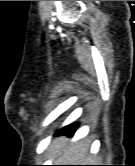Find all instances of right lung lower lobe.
I'll return each instance as SVG.
<instances>
[{
	"label": "right lung lower lobe",
	"mask_w": 135,
	"mask_h": 166,
	"mask_svg": "<svg viewBox=\"0 0 135 166\" xmlns=\"http://www.w3.org/2000/svg\"><path fill=\"white\" fill-rule=\"evenodd\" d=\"M78 125H79L78 123L70 124V125H68V126H66V127H64V128H62V129H60V130L57 132V134H67V135H71V134H73V133L76 131Z\"/></svg>",
	"instance_id": "obj_1"
}]
</instances>
